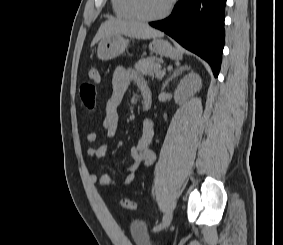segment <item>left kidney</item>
<instances>
[{
  "label": "left kidney",
  "mask_w": 283,
  "mask_h": 245,
  "mask_svg": "<svg viewBox=\"0 0 283 245\" xmlns=\"http://www.w3.org/2000/svg\"><path fill=\"white\" fill-rule=\"evenodd\" d=\"M202 86L201 78L198 74L189 73L179 83L175 90V100L180 102L187 97L192 96L200 90Z\"/></svg>",
  "instance_id": "obj_1"
}]
</instances>
